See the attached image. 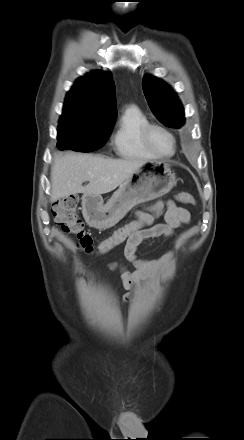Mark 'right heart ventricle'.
<instances>
[{"instance_id": "1", "label": "right heart ventricle", "mask_w": 244, "mask_h": 440, "mask_svg": "<svg viewBox=\"0 0 244 440\" xmlns=\"http://www.w3.org/2000/svg\"><path fill=\"white\" fill-rule=\"evenodd\" d=\"M147 124L148 118L136 107H128L121 113L112 137L117 155L129 159L155 158L140 139V132Z\"/></svg>"}]
</instances>
